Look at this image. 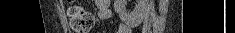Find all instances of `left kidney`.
I'll return each mask as SVG.
<instances>
[{
	"label": "left kidney",
	"mask_w": 235,
	"mask_h": 33,
	"mask_svg": "<svg viewBox=\"0 0 235 33\" xmlns=\"http://www.w3.org/2000/svg\"><path fill=\"white\" fill-rule=\"evenodd\" d=\"M126 0H114V10L119 15L120 19L127 25H137L143 19L148 0H136L133 11H127Z\"/></svg>",
	"instance_id": "1"
}]
</instances>
